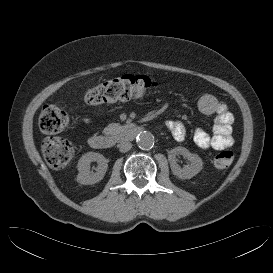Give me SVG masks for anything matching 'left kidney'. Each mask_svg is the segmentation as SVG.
<instances>
[{"mask_svg":"<svg viewBox=\"0 0 273 273\" xmlns=\"http://www.w3.org/2000/svg\"><path fill=\"white\" fill-rule=\"evenodd\" d=\"M183 155L190 161V165L181 168L176 162V156ZM170 167L175 176L180 179H190L203 168V161L199 155L189 152L186 148L178 146L169 152Z\"/></svg>","mask_w":273,"mask_h":273,"instance_id":"obj_1","label":"left kidney"}]
</instances>
